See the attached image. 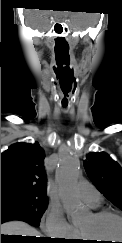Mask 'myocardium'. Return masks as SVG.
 I'll return each mask as SVG.
<instances>
[{"label": "myocardium", "mask_w": 122, "mask_h": 243, "mask_svg": "<svg viewBox=\"0 0 122 243\" xmlns=\"http://www.w3.org/2000/svg\"><path fill=\"white\" fill-rule=\"evenodd\" d=\"M92 216L96 219V220H101L104 219L106 217H115L117 219H119L120 221H122V214L112 211V210H96L92 212ZM79 235L81 236V238L85 241H90V239L92 237H90L89 235H87L84 231H82L81 229H79Z\"/></svg>", "instance_id": "1"}]
</instances>
